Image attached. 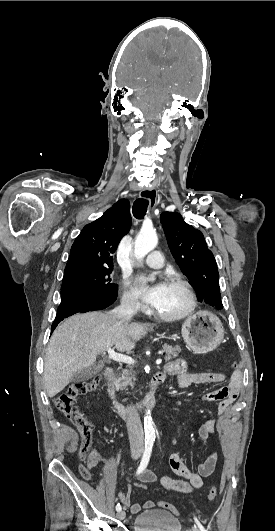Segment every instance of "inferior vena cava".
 I'll list each match as a JSON object with an SVG mask.
<instances>
[{
    "instance_id": "inferior-vena-cava-1",
    "label": "inferior vena cava",
    "mask_w": 275,
    "mask_h": 531,
    "mask_svg": "<svg viewBox=\"0 0 275 531\" xmlns=\"http://www.w3.org/2000/svg\"><path fill=\"white\" fill-rule=\"evenodd\" d=\"M134 313L135 303L134 301H130V303H125V305H120V307L111 311L109 315H113V317L120 319V321H128V319L133 317ZM126 427L131 449H144V433L140 417L134 407H129L127 411Z\"/></svg>"
}]
</instances>
